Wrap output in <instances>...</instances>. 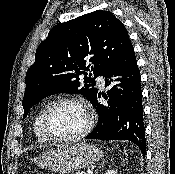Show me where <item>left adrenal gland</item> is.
Here are the masks:
<instances>
[{
  "mask_svg": "<svg viewBox=\"0 0 175 174\" xmlns=\"http://www.w3.org/2000/svg\"><path fill=\"white\" fill-rule=\"evenodd\" d=\"M104 164H105V160L102 159V163L100 164V166L98 167V169H96L95 174L97 173V171H98L101 167L104 166Z\"/></svg>",
  "mask_w": 175,
  "mask_h": 174,
  "instance_id": "obj_1",
  "label": "left adrenal gland"
}]
</instances>
